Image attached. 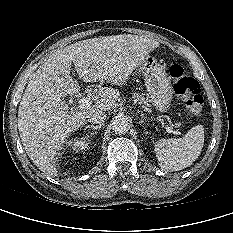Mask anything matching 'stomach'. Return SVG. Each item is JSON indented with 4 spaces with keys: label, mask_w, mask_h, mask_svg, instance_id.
<instances>
[{
    "label": "stomach",
    "mask_w": 233,
    "mask_h": 233,
    "mask_svg": "<svg viewBox=\"0 0 233 233\" xmlns=\"http://www.w3.org/2000/svg\"><path fill=\"white\" fill-rule=\"evenodd\" d=\"M134 74L144 77L149 100L159 111L165 112L173 97L172 85L164 68L153 56H146L144 61L134 70Z\"/></svg>",
    "instance_id": "0dacf381"
}]
</instances>
